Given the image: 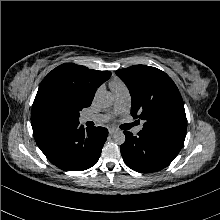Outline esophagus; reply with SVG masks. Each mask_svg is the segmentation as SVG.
Returning a JSON list of instances; mask_svg holds the SVG:
<instances>
[{
	"label": "esophagus",
	"instance_id": "esophagus-1",
	"mask_svg": "<svg viewBox=\"0 0 220 220\" xmlns=\"http://www.w3.org/2000/svg\"><path fill=\"white\" fill-rule=\"evenodd\" d=\"M115 132H117V129L115 128H109V134L113 135Z\"/></svg>",
	"mask_w": 220,
	"mask_h": 220
}]
</instances>
